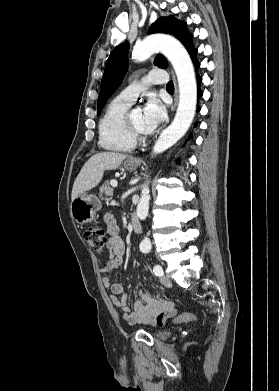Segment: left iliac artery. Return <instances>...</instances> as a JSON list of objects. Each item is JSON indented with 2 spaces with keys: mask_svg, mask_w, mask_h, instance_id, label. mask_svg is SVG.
I'll return each mask as SVG.
<instances>
[{
  "mask_svg": "<svg viewBox=\"0 0 279 391\" xmlns=\"http://www.w3.org/2000/svg\"><path fill=\"white\" fill-rule=\"evenodd\" d=\"M153 272H154V274L156 276H162L163 275V270H162V267L160 265L154 266Z\"/></svg>",
  "mask_w": 279,
  "mask_h": 391,
  "instance_id": "1",
  "label": "left iliac artery"
}]
</instances>
